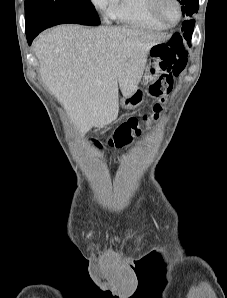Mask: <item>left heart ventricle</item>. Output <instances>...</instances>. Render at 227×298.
<instances>
[{
	"label": "left heart ventricle",
	"instance_id": "1",
	"mask_svg": "<svg viewBox=\"0 0 227 298\" xmlns=\"http://www.w3.org/2000/svg\"><path fill=\"white\" fill-rule=\"evenodd\" d=\"M161 13L170 22L177 19L178 10L173 0H163L161 3Z\"/></svg>",
	"mask_w": 227,
	"mask_h": 298
}]
</instances>
